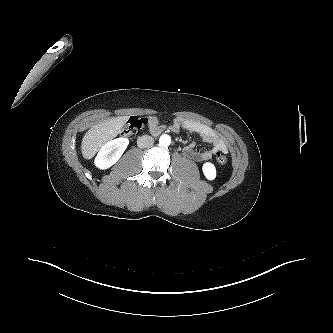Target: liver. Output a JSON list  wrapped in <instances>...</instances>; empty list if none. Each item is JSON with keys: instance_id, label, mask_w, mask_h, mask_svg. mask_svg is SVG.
<instances>
[{"instance_id": "obj_1", "label": "liver", "mask_w": 333, "mask_h": 333, "mask_svg": "<svg viewBox=\"0 0 333 333\" xmlns=\"http://www.w3.org/2000/svg\"><path fill=\"white\" fill-rule=\"evenodd\" d=\"M128 117H113L93 126L83 137L82 154L85 159H91L97 151L119 133Z\"/></svg>"}]
</instances>
